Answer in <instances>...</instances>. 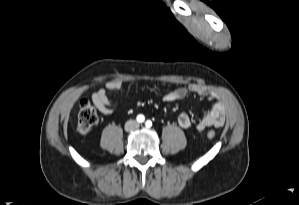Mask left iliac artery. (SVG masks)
Returning a JSON list of instances; mask_svg holds the SVG:
<instances>
[{
  "label": "left iliac artery",
  "mask_w": 299,
  "mask_h": 205,
  "mask_svg": "<svg viewBox=\"0 0 299 205\" xmlns=\"http://www.w3.org/2000/svg\"><path fill=\"white\" fill-rule=\"evenodd\" d=\"M147 128H150L152 126V122L150 120L146 121L145 123Z\"/></svg>",
  "instance_id": "left-iliac-artery-1"
}]
</instances>
